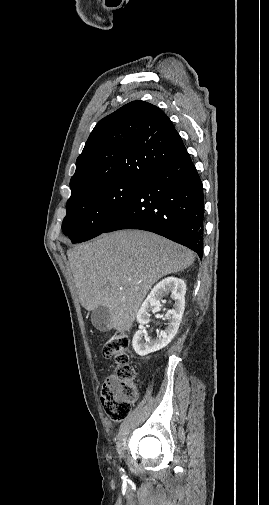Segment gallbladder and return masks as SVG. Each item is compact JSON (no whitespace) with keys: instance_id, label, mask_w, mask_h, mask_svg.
<instances>
[{"instance_id":"obj_1","label":"gallbladder","mask_w":269,"mask_h":505,"mask_svg":"<svg viewBox=\"0 0 269 505\" xmlns=\"http://www.w3.org/2000/svg\"><path fill=\"white\" fill-rule=\"evenodd\" d=\"M91 321L93 326L101 332H108L112 328L110 312L104 306H98L92 310Z\"/></svg>"}]
</instances>
